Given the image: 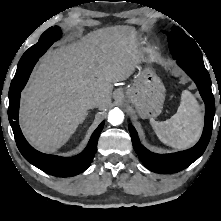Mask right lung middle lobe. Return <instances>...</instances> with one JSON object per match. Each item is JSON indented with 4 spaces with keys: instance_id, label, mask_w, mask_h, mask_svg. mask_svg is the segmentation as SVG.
<instances>
[{
    "instance_id": "dd1d6c3e",
    "label": "right lung middle lobe",
    "mask_w": 221,
    "mask_h": 221,
    "mask_svg": "<svg viewBox=\"0 0 221 221\" xmlns=\"http://www.w3.org/2000/svg\"><path fill=\"white\" fill-rule=\"evenodd\" d=\"M61 37V29L58 26L51 27L47 29L40 37L39 41L30 47L24 54L31 56L44 54L46 50L59 38ZM23 67L21 65H18L16 74L11 82V86H15L17 84V81L21 79V72L23 71ZM15 94V90L13 88H10L9 90V96H12Z\"/></svg>"
}]
</instances>
